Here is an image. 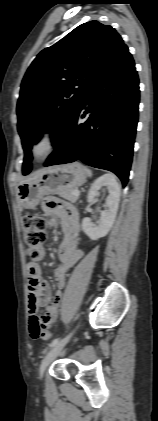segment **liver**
I'll return each instance as SVG.
<instances>
[{
    "label": "liver",
    "instance_id": "obj_1",
    "mask_svg": "<svg viewBox=\"0 0 158 421\" xmlns=\"http://www.w3.org/2000/svg\"><path fill=\"white\" fill-rule=\"evenodd\" d=\"M46 170L47 169H41V170L36 171L30 177H28L25 180H23L21 183L26 182V181H30L33 178H37L38 176H40L41 174H43Z\"/></svg>",
    "mask_w": 158,
    "mask_h": 421
}]
</instances>
